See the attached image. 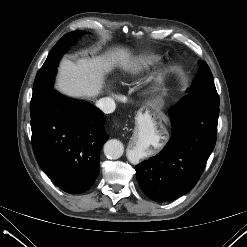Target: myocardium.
<instances>
[{"mask_svg": "<svg viewBox=\"0 0 247 247\" xmlns=\"http://www.w3.org/2000/svg\"><path fill=\"white\" fill-rule=\"evenodd\" d=\"M169 72H170V69L168 67H166V66L160 67L156 72L155 81L158 84H162L166 80V78L168 77Z\"/></svg>", "mask_w": 247, "mask_h": 247, "instance_id": "obj_1", "label": "myocardium"}]
</instances>
